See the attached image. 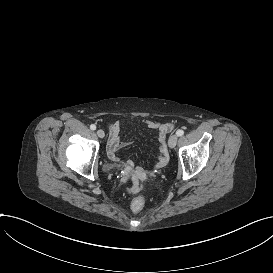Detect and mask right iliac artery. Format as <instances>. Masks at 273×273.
I'll list each match as a JSON object with an SVG mask.
<instances>
[{
	"label": "right iliac artery",
	"mask_w": 273,
	"mask_h": 273,
	"mask_svg": "<svg viewBox=\"0 0 273 273\" xmlns=\"http://www.w3.org/2000/svg\"><path fill=\"white\" fill-rule=\"evenodd\" d=\"M90 129H91V130H95V129H96V125H95V124H92V125L90 126Z\"/></svg>",
	"instance_id": "82829eb1"
}]
</instances>
